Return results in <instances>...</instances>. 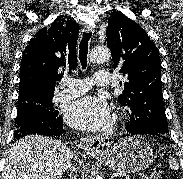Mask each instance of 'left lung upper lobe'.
Listing matches in <instances>:
<instances>
[{"label":"left lung upper lobe","instance_id":"5c2ea615","mask_svg":"<svg viewBox=\"0 0 183 179\" xmlns=\"http://www.w3.org/2000/svg\"><path fill=\"white\" fill-rule=\"evenodd\" d=\"M108 22L106 41L112 51L113 66L127 79L118 96V101L129 108L127 127L141 134L167 136L158 48L147 33L123 13L112 14Z\"/></svg>","mask_w":183,"mask_h":179}]
</instances>
